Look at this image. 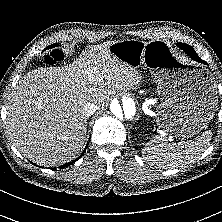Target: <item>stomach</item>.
<instances>
[{
	"label": "stomach",
	"mask_w": 222,
	"mask_h": 222,
	"mask_svg": "<svg viewBox=\"0 0 222 222\" xmlns=\"http://www.w3.org/2000/svg\"><path fill=\"white\" fill-rule=\"evenodd\" d=\"M107 50L123 64L144 66L155 78L160 97L155 123L166 134L192 137L213 118L217 91L210 71L180 59L170 42L126 39Z\"/></svg>",
	"instance_id": "obj_1"
}]
</instances>
